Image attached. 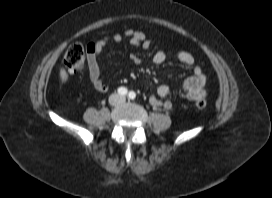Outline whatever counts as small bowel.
<instances>
[{
  "label": "small bowel",
  "instance_id": "obj_1",
  "mask_svg": "<svg viewBox=\"0 0 272 198\" xmlns=\"http://www.w3.org/2000/svg\"><path fill=\"white\" fill-rule=\"evenodd\" d=\"M123 37L129 38L133 45L141 46L144 49L151 47V42L141 31L127 29L123 34H116L112 37L115 42H121ZM106 45V40L101 39L87 44V59L90 82L95 91L105 93L109 90V85L101 77V68L99 64V56ZM176 60L192 69V75L188 77L181 85L182 95L190 101L205 97L206 76L202 68L195 63L193 55L186 51H178L175 54ZM167 60V55L163 50L157 51L153 56V63L157 66H163ZM130 61L134 65L140 63V58L132 54ZM172 96V91L169 86L161 85L157 88L156 95L150 97L151 105L158 108L170 110L173 108V102L169 99Z\"/></svg>",
  "mask_w": 272,
  "mask_h": 198
}]
</instances>
